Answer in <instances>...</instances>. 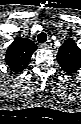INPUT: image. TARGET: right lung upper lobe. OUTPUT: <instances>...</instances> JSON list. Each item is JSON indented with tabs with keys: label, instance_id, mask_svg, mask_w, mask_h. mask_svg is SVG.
Masks as SVG:
<instances>
[{
	"label": "right lung upper lobe",
	"instance_id": "1",
	"mask_svg": "<svg viewBox=\"0 0 81 124\" xmlns=\"http://www.w3.org/2000/svg\"><path fill=\"white\" fill-rule=\"evenodd\" d=\"M37 46L28 38L16 37L8 47L5 62L12 72L20 73L28 67Z\"/></svg>",
	"mask_w": 81,
	"mask_h": 124
}]
</instances>
